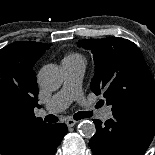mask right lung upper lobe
Instances as JSON below:
<instances>
[{
    "instance_id": "right-lung-upper-lobe-1",
    "label": "right lung upper lobe",
    "mask_w": 155,
    "mask_h": 155,
    "mask_svg": "<svg viewBox=\"0 0 155 155\" xmlns=\"http://www.w3.org/2000/svg\"><path fill=\"white\" fill-rule=\"evenodd\" d=\"M51 45L19 41L0 50L1 155H29L38 134L49 125L34 115L40 106L33 66Z\"/></svg>"
}]
</instances>
